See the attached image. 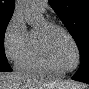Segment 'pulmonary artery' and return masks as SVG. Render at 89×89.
<instances>
[{
    "mask_svg": "<svg viewBox=\"0 0 89 89\" xmlns=\"http://www.w3.org/2000/svg\"><path fill=\"white\" fill-rule=\"evenodd\" d=\"M35 6L38 10L44 12L46 7H47V1L46 0H38V1H34Z\"/></svg>",
    "mask_w": 89,
    "mask_h": 89,
    "instance_id": "pulmonary-artery-1",
    "label": "pulmonary artery"
}]
</instances>
